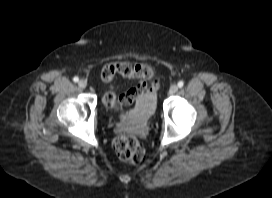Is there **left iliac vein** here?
<instances>
[{
	"instance_id": "4c4485c4",
	"label": "left iliac vein",
	"mask_w": 272,
	"mask_h": 198,
	"mask_svg": "<svg viewBox=\"0 0 272 198\" xmlns=\"http://www.w3.org/2000/svg\"><path fill=\"white\" fill-rule=\"evenodd\" d=\"M177 91H178V86L175 85V84L172 85V86L169 88V94H170V95L175 94Z\"/></svg>"
}]
</instances>
